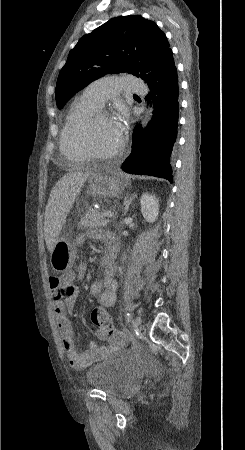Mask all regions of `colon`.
<instances>
[{
	"label": "colon",
	"mask_w": 245,
	"mask_h": 450,
	"mask_svg": "<svg viewBox=\"0 0 245 450\" xmlns=\"http://www.w3.org/2000/svg\"><path fill=\"white\" fill-rule=\"evenodd\" d=\"M63 281L68 282L69 278L66 276L65 278H63ZM91 321L96 327L104 330L106 336L113 342L126 344V336L114 327L112 320L105 309L101 307L93 308L91 312Z\"/></svg>",
	"instance_id": "1"
}]
</instances>
